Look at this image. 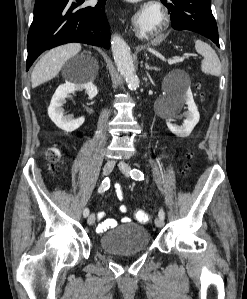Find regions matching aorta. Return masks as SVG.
<instances>
[{
	"mask_svg": "<svg viewBox=\"0 0 247 299\" xmlns=\"http://www.w3.org/2000/svg\"><path fill=\"white\" fill-rule=\"evenodd\" d=\"M111 50L118 71L125 78L128 87L136 90L140 81L135 72L129 46L120 36L114 35L111 39Z\"/></svg>",
	"mask_w": 247,
	"mask_h": 299,
	"instance_id": "1",
	"label": "aorta"
}]
</instances>
